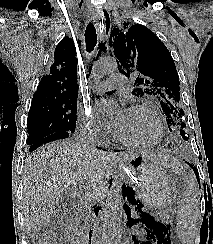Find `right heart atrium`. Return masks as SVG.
Wrapping results in <instances>:
<instances>
[{"mask_svg":"<svg viewBox=\"0 0 213 244\" xmlns=\"http://www.w3.org/2000/svg\"><path fill=\"white\" fill-rule=\"evenodd\" d=\"M109 134L107 124L99 120L91 108L84 107L77 114L76 137L88 142H100Z\"/></svg>","mask_w":213,"mask_h":244,"instance_id":"1","label":"right heart atrium"}]
</instances>
